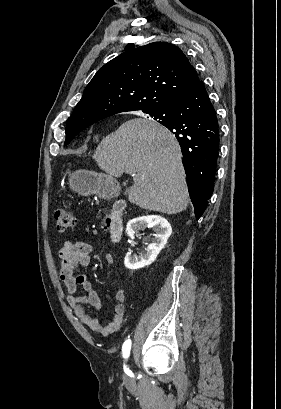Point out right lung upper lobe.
Listing matches in <instances>:
<instances>
[{
	"label": "right lung upper lobe",
	"mask_w": 281,
	"mask_h": 409,
	"mask_svg": "<svg viewBox=\"0 0 281 409\" xmlns=\"http://www.w3.org/2000/svg\"><path fill=\"white\" fill-rule=\"evenodd\" d=\"M200 82L184 53L170 43L131 48L95 74L66 127L90 126L121 112L161 109L191 93Z\"/></svg>",
	"instance_id": "cb5924a9"
}]
</instances>
